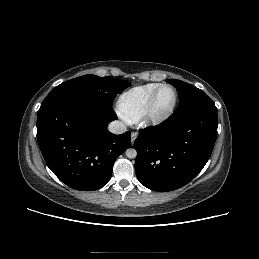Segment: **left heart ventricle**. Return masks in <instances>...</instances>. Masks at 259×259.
Here are the masks:
<instances>
[{
  "instance_id": "b2bd125f",
  "label": "left heart ventricle",
  "mask_w": 259,
  "mask_h": 259,
  "mask_svg": "<svg viewBox=\"0 0 259 259\" xmlns=\"http://www.w3.org/2000/svg\"><path fill=\"white\" fill-rule=\"evenodd\" d=\"M173 101V92L169 88L161 90L156 100V110L164 111L166 110Z\"/></svg>"
}]
</instances>
